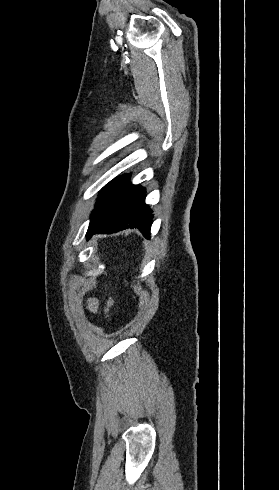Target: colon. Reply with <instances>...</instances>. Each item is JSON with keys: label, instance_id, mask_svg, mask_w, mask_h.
Here are the masks:
<instances>
[{"label": "colon", "instance_id": "colon-1", "mask_svg": "<svg viewBox=\"0 0 279 490\" xmlns=\"http://www.w3.org/2000/svg\"><path fill=\"white\" fill-rule=\"evenodd\" d=\"M113 302L112 301H108L104 307V312H105V315L108 316L113 308Z\"/></svg>", "mask_w": 279, "mask_h": 490}]
</instances>
